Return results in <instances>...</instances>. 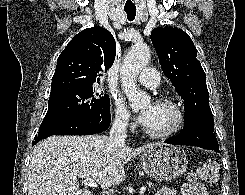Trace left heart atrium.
<instances>
[{
    "label": "left heart atrium",
    "mask_w": 245,
    "mask_h": 195,
    "mask_svg": "<svg viewBox=\"0 0 245 195\" xmlns=\"http://www.w3.org/2000/svg\"><path fill=\"white\" fill-rule=\"evenodd\" d=\"M153 109V104L149 105L146 109L142 110L138 115V120L141 124L145 125L149 120Z\"/></svg>",
    "instance_id": "39dd6f15"
}]
</instances>
